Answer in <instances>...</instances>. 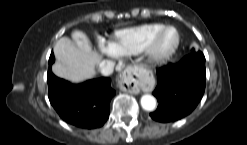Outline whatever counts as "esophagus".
I'll use <instances>...</instances> for the list:
<instances>
[{
    "mask_svg": "<svg viewBox=\"0 0 247 145\" xmlns=\"http://www.w3.org/2000/svg\"><path fill=\"white\" fill-rule=\"evenodd\" d=\"M139 83L140 74L132 68H127L121 75L119 88L124 92L137 95L140 92Z\"/></svg>",
    "mask_w": 247,
    "mask_h": 145,
    "instance_id": "34e87169",
    "label": "esophagus"
}]
</instances>
